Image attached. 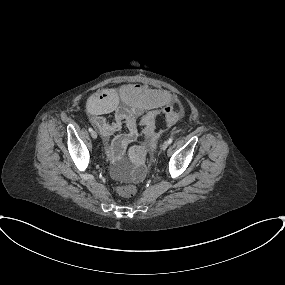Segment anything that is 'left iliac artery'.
Listing matches in <instances>:
<instances>
[{
  "instance_id": "left-iliac-artery-1",
  "label": "left iliac artery",
  "mask_w": 285,
  "mask_h": 285,
  "mask_svg": "<svg viewBox=\"0 0 285 285\" xmlns=\"http://www.w3.org/2000/svg\"><path fill=\"white\" fill-rule=\"evenodd\" d=\"M168 142L171 144L173 142V137L169 138Z\"/></svg>"
}]
</instances>
